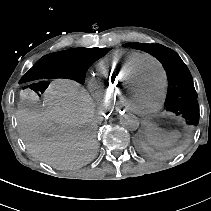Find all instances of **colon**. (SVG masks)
<instances>
[{"mask_svg":"<svg viewBox=\"0 0 211 211\" xmlns=\"http://www.w3.org/2000/svg\"><path fill=\"white\" fill-rule=\"evenodd\" d=\"M48 89L46 81H36L25 86L21 91V100L33 102L38 100Z\"/></svg>","mask_w":211,"mask_h":211,"instance_id":"5ec220e1","label":"colon"}]
</instances>
